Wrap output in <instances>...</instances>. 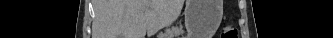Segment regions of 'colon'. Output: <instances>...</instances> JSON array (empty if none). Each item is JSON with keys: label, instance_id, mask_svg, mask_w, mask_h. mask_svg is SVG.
<instances>
[{"label": "colon", "instance_id": "1", "mask_svg": "<svg viewBox=\"0 0 333 38\" xmlns=\"http://www.w3.org/2000/svg\"><path fill=\"white\" fill-rule=\"evenodd\" d=\"M222 38H237V32L233 27L228 26L224 29Z\"/></svg>", "mask_w": 333, "mask_h": 38}]
</instances>
